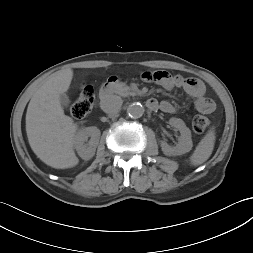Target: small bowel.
<instances>
[{
  "instance_id": "obj_1",
  "label": "small bowel",
  "mask_w": 253,
  "mask_h": 253,
  "mask_svg": "<svg viewBox=\"0 0 253 253\" xmlns=\"http://www.w3.org/2000/svg\"><path fill=\"white\" fill-rule=\"evenodd\" d=\"M142 78L155 82L168 91L175 87L183 89L194 100V106L200 113L210 114L215 110L214 101L206 96V87L199 79L171 75L166 71L145 72ZM158 108L165 113L176 111V106L167 100L158 103Z\"/></svg>"
}]
</instances>
